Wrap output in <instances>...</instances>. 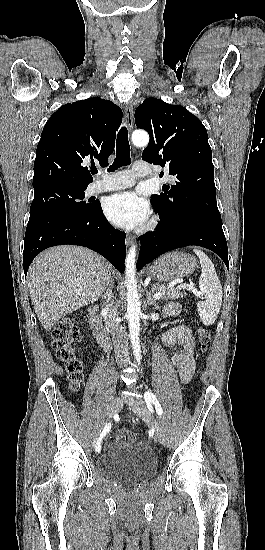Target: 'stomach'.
Segmentation results:
<instances>
[{"label": "stomach", "instance_id": "0dacf381", "mask_svg": "<svg viewBox=\"0 0 265 550\" xmlns=\"http://www.w3.org/2000/svg\"><path fill=\"white\" fill-rule=\"evenodd\" d=\"M197 266L196 258L184 252H170L161 256L147 274L158 281L166 282L191 275Z\"/></svg>", "mask_w": 265, "mask_h": 550}]
</instances>
